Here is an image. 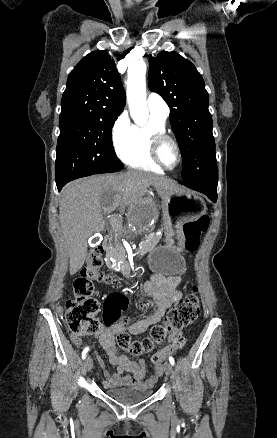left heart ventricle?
Wrapping results in <instances>:
<instances>
[{
  "label": "left heart ventricle",
  "mask_w": 277,
  "mask_h": 438,
  "mask_svg": "<svg viewBox=\"0 0 277 438\" xmlns=\"http://www.w3.org/2000/svg\"><path fill=\"white\" fill-rule=\"evenodd\" d=\"M161 158L163 162L169 167L175 164L177 155L176 149L172 143L167 142L163 145L161 149Z\"/></svg>",
  "instance_id": "1"
}]
</instances>
